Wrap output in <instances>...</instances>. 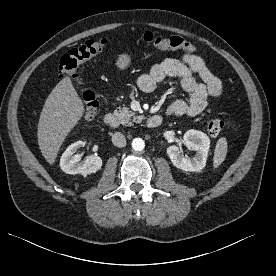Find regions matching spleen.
Listing matches in <instances>:
<instances>
[{"mask_svg":"<svg viewBox=\"0 0 276 276\" xmlns=\"http://www.w3.org/2000/svg\"><path fill=\"white\" fill-rule=\"evenodd\" d=\"M226 155H227V140L225 137H221L216 143L214 157H213V167L218 168L225 160Z\"/></svg>","mask_w":276,"mask_h":276,"instance_id":"1","label":"spleen"}]
</instances>
